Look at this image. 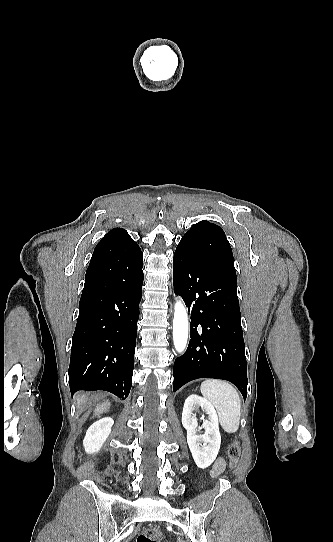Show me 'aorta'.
I'll use <instances>...</instances> for the list:
<instances>
[{"label": "aorta", "instance_id": "1", "mask_svg": "<svg viewBox=\"0 0 333 542\" xmlns=\"http://www.w3.org/2000/svg\"><path fill=\"white\" fill-rule=\"evenodd\" d=\"M189 336V324L187 310L181 302L177 300L174 306V318H173V344L176 352L182 354L187 348Z\"/></svg>", "mask_w": 333, "mask_h": 542}]
</instances>
